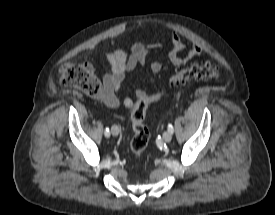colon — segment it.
<instances>
[{
  "instance_id": "5ec220e1",
  "label": "colon",
  "mask_w": 275,
  "mask_h": 215,
  "mask_svg": "<svg viewBox=\"0 0 275 215\" xmlns=\"http://www.w3.org/2000/svg\"><path fill=\"white\" fill-rule=\"evenodd\" d=\"M222 75V69L215 64L210 62L197 63L178 70L169 78L168 85L179 87L193 80L219 79ZM61 81L63 85L77 88L92 98L99 97L102 92L101 83L88 62L65 63L61 68ZM160 97V91L148 95L138 100L133 110L131 121L134 136L131 141V152L136 160L141 158L150 137L149 130L144 124L146 111L149 105Z\"/></svg>"
}]
</instances>
